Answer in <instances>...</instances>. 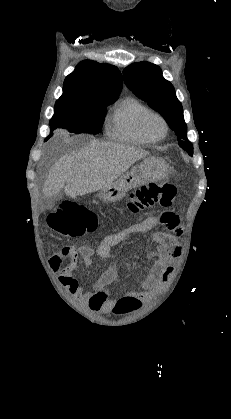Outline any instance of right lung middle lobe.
I'll use <instances>...</instances> for the list:
<instances>
[{
  "mask_svg": "<svg viewBox=\"0 0 231 419\" xmlns=\"http://www.w3.org/2000/svg\"><path fill=\"white\" fill-rule=\"evenodd\" d=\"M116 99L75 100L59 98L55 103V113L50 120V136L56 128H64L72 133L98 134L101 131L106 107ZM48 137V138H49ZM47 138V139H48Z\"/></svg>",
  "mask_w": 231,
  "mask_h": 419,
  "instance_id": "right-lung-middle-lobe-1",
  "label": "right lung middle lobe"
}]
</instances>
